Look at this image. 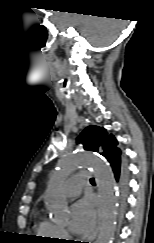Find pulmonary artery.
<instances>
[{
	"label": "pulmonary artery",
	"instance_id": "1",
	"mask_svg": "<svg viewBox=\"0 0 154 243\" xmlns=\"http://www.w3.org/2000/svg\"><path fill=\"white\" fill-rule=\"evenodd\" d=\"M89 172L81 170L72 175L64 184V192L67 196H75L81 190L82 183L86 181Z\"/></svg>",
	"mask_w": 154,
	"mask_h": 243
}]
</instances>
